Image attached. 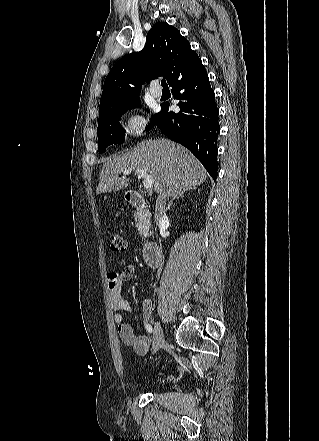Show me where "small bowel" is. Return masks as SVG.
<instances>
[{
  "instance_id": "1",
  "label": "small bowel",
  "mask_w": 319,
  "mask_h": 441,
  "mask_svg": "<svg viewBox=\"0 0 319 441\" xmlns=\"http://www.w3.org/2000/svg\"><path fill=\"white\" fill-rule=\"evenodd\" d=\"M135 272L133 264H127L124 261L120 262L119 272L107 273V286L109 293V302L111 309L115 312L114 323L116 325L121 341L134 349L139 355H144L148 352L150 347V340L146 335H136L130 325L124 322L120 311L129 309L130 305L127 301L122 299L120 295L121 287L124 282L129 281ZM153 299L147 298L142 304L143 322L146 323L152 316ZM147 323L145 324V326Z\"/></svg>"
}]
</instances>
